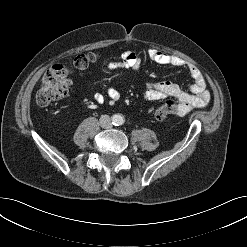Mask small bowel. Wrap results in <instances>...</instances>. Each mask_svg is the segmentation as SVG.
Listing matches in <instances>:
<instances>
[{
    "label": "small bowel",
    "mask_w": 247,
    "mask_h": 247,
    "mask_svg": "<svg viewBox=\"0 0 247 247\" xmlns=\"http://www.w3.org/2000/svg\"><path fill=\"white\" fill-rule=\"evenodd\" d=\"M147 56L150 60L172 67L186 68L191 76L193 83L190 90L184 91L177 84L169 81L147 82L143 87V96L148 100H163L167 97H174L179 101L178 115H186L193 108L205 107L210 101V93L207 90L206 78L203 73L194 65L186 63L181 58L161 51L159 49H149ZM141 66V57L134 52H124L118 62H110L107 67L111 70L117 68H131L135 71ZM107 96L112 101L120 99V92L109 87L106 91ZM93 99L97 103H103L105 95L99 92L93 94Z\"/></svg>",
    "instance_id": "1"
}]
</instances>
